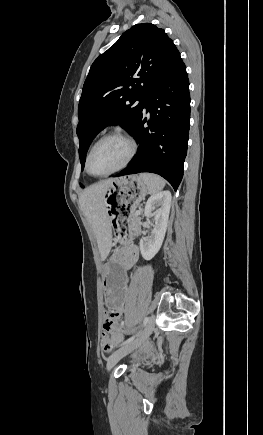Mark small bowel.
Wrapping results in <instances>:
<instances>
[{"label":"small bowel","mask_w":263,"mask_h":435,"mask_svg":"<svg viewBox=\"0 0 263 435\" xmlns=\"http://www.w3.org/2000/svg\"><path fill=\"white\" fill-rule=\"evenodd\" d=\"M139 257V251L136 245L131 244L122 249L117 250L111 258H121L122 261H128L130 271ZM128 281V278H127ZM124 312V305H119L118 310H111L110 316L104 322V329L107 333L104 334L103 341H100L99 348L104 350L105 355H114L117 350L123 347L120 342L124 338L122 329L118 326V319ZM115 338L118 341H115Z\"/></svg>","instance_id":"c3829d8e"}]
</instances>
